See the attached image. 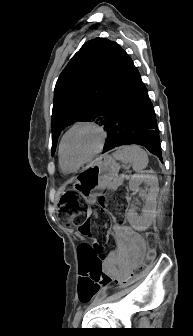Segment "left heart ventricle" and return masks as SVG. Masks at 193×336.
<instances>
[{
    "mask_svg": "<svg viewBox=\"0 0 193 336\" xmlns=\"http://www.w3.org/2000/svg\"><path fill=\"white\" fill-rule=\"evenodd\" d=\"M99 143L100 135L96 130L90 127H78L65 140V157L73 163H78L90 156Z\"/></svg>",
    "mask_w": 193,
    "mask_h": 336,
    "instance_id": "b2bd125f",
    "label": "left heart ventricle"
}]
</instances>
